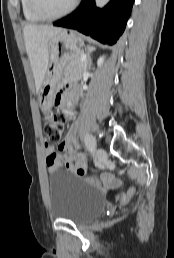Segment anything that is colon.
Segmentation results:
<instances>
[{"label": "colon", "instance_id": "obj_1", "mask_svg": "<svg viewBox=\"0 0 174 258\" xmlns=\"http://www.w3.org/2000/svg\"><path fill=\"white\" fill-rule=\"evenodd\" d=\"M66 119L65 116L61 113H55L51 115L45 122H44V132L46 138L51 143H57L60 141L62 133L64 132ZM87 181L94 185H101L100 181L95 178H87ZM136 190L135 188H130L127 192L119 194L118 199L121 202H128L132 199L135 195Z\"/></svg>", "mask_w": 174, "mask_h": 258}]
</instances>
